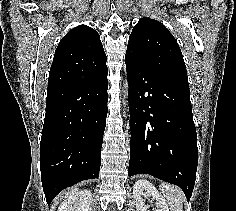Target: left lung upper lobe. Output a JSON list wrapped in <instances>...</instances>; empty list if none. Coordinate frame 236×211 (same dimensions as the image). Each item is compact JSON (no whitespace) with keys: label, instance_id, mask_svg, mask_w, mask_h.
Returning a JSON list of instances; mask_svg holds the SVG:
<instances>
[{"label":"left lung upper lobe","instance_id":"left-lung-upper-lobe-1","mask_svg":"<svg viewBox=\"0 0 236 211\" xmlns=\"http://www.w3.org/2000/svg\"><path fill=\"white\" fill-rule=\"evenodd\" d=\"M125 59L188 85L179 45L160 22L142 18L129 37Z\"/></svg>","mask_w":236,"mask_h":211}]
</instances>
